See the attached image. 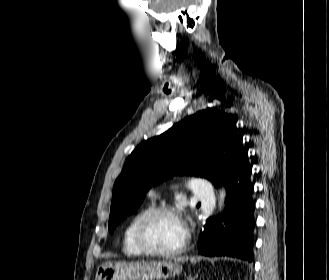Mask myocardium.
Instances as JSON below:
<instances>
[{
    "label": "myocardium",
    "instance_id": "obj_1",
    "mask_svg": "<svg viewBox=\"0 0 329 280\" xmlns=\"http://www.w3.org/2000/svg\"><path fill=\"white\" fill-rule=\"evenodd\" d=\"M162 214H169L179 218L178 212L175 208L167 205H161L151 208L147 211L141 219L138 221L135 232L134 239L137 246L140 250L148 255L159 256V257H168L181 253L187 246L188 243V234L184 232V237L181 243L175 248L171 249H158L154 247L148 239V228L150 223L158 216Z\"/></svg>",
    "mask_w": 329,
    "mask_h": 280
}]
</instances>
